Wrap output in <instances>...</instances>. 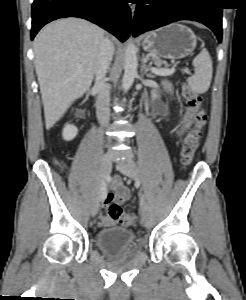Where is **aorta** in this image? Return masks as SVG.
I'll return each mask as SVG.
<instances>
[{"instance_id": "762f6f07", "label": "aorta", "mask_w": 246, "mask_h": 300, "mask_svg": "<svg viewBox=\"0 0 246 300\" xmlns=\"http://www.w3.org/2000/svg\"><path fill=\"white\" fill-rule=\"evenodd\" d=\"M137 48L132 43L129 42L126 46L125 58H124V75L122 78V88L124 92H127L137 75Z\"/></svg>"}]
</instances>
